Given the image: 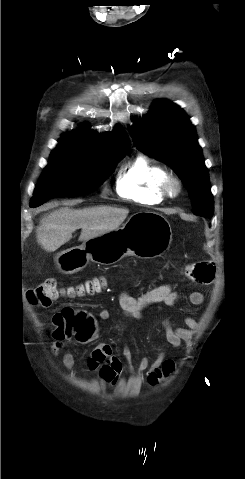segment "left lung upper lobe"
I'll use <instances>...</instances> for the list:
<instances>
[{
    "label": "left lung upper lobe",
    "mask_w": 245,
    "mask_h": 479,
    "mask_svg": "<svg viewBox=\"0 0 245 479\" xmlns=\"http://www.w3.org/2000/svg\"><path fill=\"white\" fill-rule=\"evenodd\" d=\"M131 134L139 150L176 172L188 190L193 212L211 218L214 201L207 168L195 128L182 109L167 100L155 101Z\"/></svg>",
    "instance_id": "obj_1"
}]
</instances>
